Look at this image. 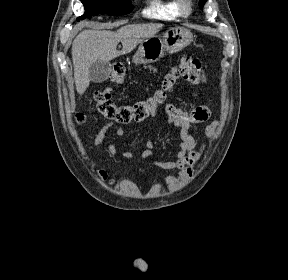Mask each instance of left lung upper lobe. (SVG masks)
<instances>
[{
  "label": "left lung upper lobe",
  "instance_id": "left-lung-upper-lobe-1",
  "mask_svg": "<svg viewBox=\"0 0 288 280\" xmlns=\"http://www.w3.org/2000/svg\"><path fill=\"white\" fill-rule=\"evenodd\" d=\"M207 0H200L199 7L202 8Z\"/></svg>",
  "mask_w": 288,
  "mask_h": 280
}]
</instances>
